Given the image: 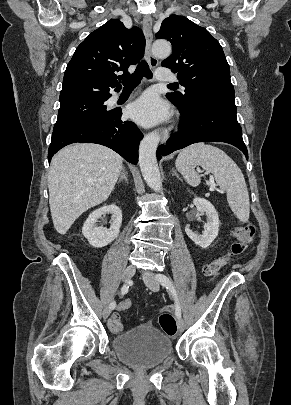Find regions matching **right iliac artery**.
Instances as JSON below:
<instances>
[{"label":"right iliac artery","instance_id":"1","mask_svg":"<svg viewBox=\"0 0 291 405\" xmlns=\"http://www.w3.org/2000/svg\"><path fill=\"white\" fill-rule=\"evenodd\" d=\"M128 289H129L128 284H127V283L124 284L123 287L121 288V293H120V295H121V296L125 295V294L128 292ZM115 306H116V302H115V301H112V302L110 303V308H111V309H114Z\"/></svg>","mask_w":291,"mask_h":405}]
</instances>
